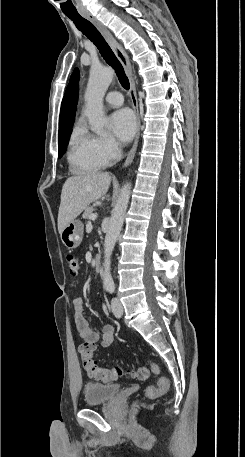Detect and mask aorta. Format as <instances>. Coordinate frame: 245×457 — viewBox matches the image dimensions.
Here are the masks:
<instances>
[{
    "mask_svg": "<svg viewBox=\"0 0 245 457\" xmlns=\"http://www.w3.org/2000/svg\"><path fill=\"white\" fill-rule=\"evenodd\" d=\"M113 76V70L108 67L93 66L90 70L89 81L85 92V115L91 124L92 130L96 133H101L108 122L103 112V97L113 80ZM130 193L131 183L128 182L121 189L105 236L103 263V283L105 286L113 285L111 255L123 226Z\"/></svg>",
    "mask_w": 245,
    "mask_h": 457,
    "instance_id": "aorta-1",
    "label": "aorta"
}]
</instances>
